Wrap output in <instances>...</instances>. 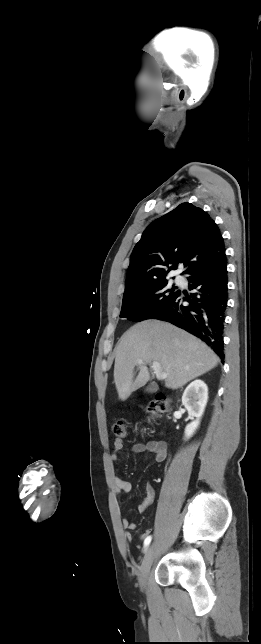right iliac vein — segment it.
<instances>
[{
    "label": "right iliac vein",
    "instance_id": "63e3f726",
    "mask_svg": "<svg viewBox=\"0 0 261 644\" xmlns=\"http://www.w3.org/2000/svg\"><path fill=\"white\" fill-rule=\"evenodd\" d=\"M153 559H154V548L151 545L146 550L145 557L143 559L141 570H140L139 584L141 589L143 590L146 587V581L153 563Z\"/></svg>",
    "mask_w": 261,
    "mask_h": 644
}]
</instances>
